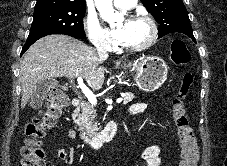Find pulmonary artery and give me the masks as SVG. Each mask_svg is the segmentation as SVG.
Wrapping results in <instances>:
<instances>
[{"label": "pulmonary artery", "mask_w": 227, "mask_h": 166, "mask_svg": "<svg viewBox=\"0 0 227 166\" xmlns=\"http://www.w3.org/2000/svg\"><path fill=\"white\" fill-rule=\"evenodd\" d=\"M137 0H113L114 5L120 9H131Z\"/></svg>", "instance_id": "1"}]
</instances>
